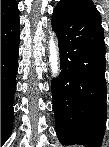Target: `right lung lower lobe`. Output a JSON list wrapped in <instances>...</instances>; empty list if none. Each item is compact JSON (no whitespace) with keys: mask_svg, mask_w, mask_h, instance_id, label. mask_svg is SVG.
<instances>
[{"mask_svg":"<svg viewBox=\"0 0 109 147\" xmlns=\"http://www.w3.org/2000/svg\"><path fill=\"white\" fill-rule=\"evenodd\" d=\"M19 39L17 16L1 25V145L12 131Z\"/></svg>","mask_w":109,"mask_h":147,"instance_id":"obj_1","label":"right lung lower lobe"}]
</instances>
